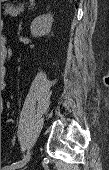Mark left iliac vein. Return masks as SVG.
I'll return each instance as SVG.
<instances>
[{
	"label": "left iliac vein",
	"mask_w": 109,
	"mask_h": 170,
	"mask_svg": "<svg viewBox=\"0 0 109 170\" xmlns=\"http://www.w3.org/2000/svg\"><path fill=\"white\" fill-rule=\"evenodd\" d=\"M22 166H14V165H8V166H5L4 170H17L18 168H20Z\"/></svg>",
	"instance_id": "left-iliac-vein-1"
}]
</instances>
